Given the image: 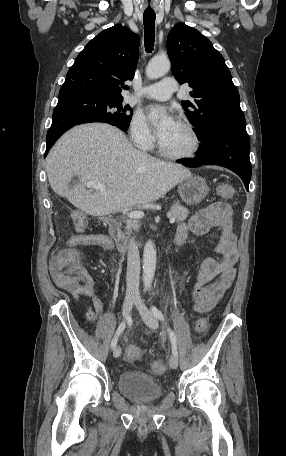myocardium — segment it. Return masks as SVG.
<instances>
[{
    "instance_id": "obj_1",
    "label": "myocardium",
    "mask_w": 286,
    "mask_h": 456,
    "mask_svg": "<svg viewBox=\"0 0 286 456\" xmlns=\"http://www.w3.org/2000/svg\"><path fill=\"white\" fill-rule=\"evenodd\" d=\"M178 124L181 125L182 127H184L191 135V137L193 139L192 148L186 153L175 154V153H171V152H168L167 150H165L164 147L162 146L161 142L158 141V144H157L158 152L163 157L172 159V160H184V159H189V158L195 157L197 155V153L199 152V150L201 148V144H202V140H201L199 132L191 123H189L187 121H180V122H178Z\"/></svg>"
}]
</instances>
